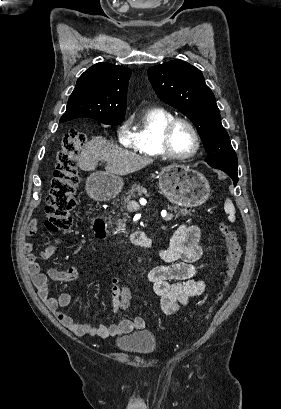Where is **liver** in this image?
<instances>
[{
	"mask_svg": "<svg viewBox=\"0 0 281 409\" xmlns=\"http://www.w3.org/2000/svg\"><path fill=\"white\" fill-rule=\"evenodd\" d=\"M98 160H107L106 172L112 174H129L141 170L147 164H152L154 158L136 154L132 150H124L119 146H114L103 136H94L81 150L78 166L81 170H95Z\"/></svg>",
	"mask_w": 281,
	"mask_h": 409,
	"instance_id": "1",
	"label": "liver"
}]
</instances>
